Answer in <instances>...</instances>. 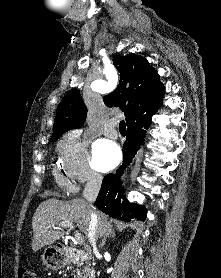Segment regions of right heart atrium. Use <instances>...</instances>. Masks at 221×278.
<instances>
[{"label":"right heart atrium","instance_id":"obj_1","mask_svg":"<svg viewBox=\"0 0 221 278\" xmlns=\"http://www.w3.org/2000/svg\"><path fill=\"white\" fill-rule=\"evenodd\" d=\"M58 152L62 165L68 176L79 184H94L101 178L94 168L88 141L81 131L68 132L58 144Z\"/></svg>","mask_w":221,"mask_h":278}]
</instances>
